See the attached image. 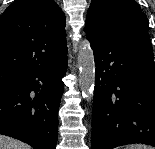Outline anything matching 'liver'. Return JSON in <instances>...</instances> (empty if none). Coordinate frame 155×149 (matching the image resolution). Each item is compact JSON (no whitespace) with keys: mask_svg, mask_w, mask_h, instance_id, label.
<instances>
[{"mask_svg":"<svg viewBox=\"0 0 155 149\" xmlns=\"http://www.w3.org/2000/svg\"><path fill=\"white\" fill-rule=\"evenodd\" d=\"M0 149H30V146L16 139L0 135Z\"/></svg>","mask_w":155,"mask_h":149,"instance_id":"1","label":"liver"}]
</instances>
